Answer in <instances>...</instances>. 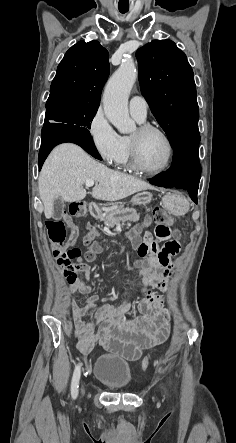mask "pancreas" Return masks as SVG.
I'll use <instances>...</instances> for the list:
<instances>
[{
  "label": "pancreas",
  "instance_id": "1",
  "mask_svg": "<svg viewBox=\"0 0 236 443\" xmlns=\"http://www.w3.org/2000/svg\"><path fill=\"white\" fill-rule=\"evenodd\" d=\"M140 219V215L137 213V210L134 208H123L120 207L114 211H111L109 214L101 217V220L104 222L105 226L110 228L114 227L119 222L133 221L137 222Z\"/></svg>",
  "mask_w": 236,
  "mask_h": 443
}]
</instances>
